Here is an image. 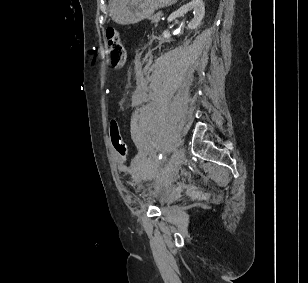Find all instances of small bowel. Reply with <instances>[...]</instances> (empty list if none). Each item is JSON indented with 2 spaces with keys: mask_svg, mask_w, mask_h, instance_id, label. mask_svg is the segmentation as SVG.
<instances>
[{
  "mask_svg": "<svg viewBox=\"0 0 308 283\" xmlns=\"http://www.w3.org/2000/svg\"><path fill=\"white\" fill-rule=\"evenodd\" d=\"M145 100H146V94L145 93H143L142 91H139V90H135L133 92L131 102H132V105L134 107L140 106ZM119 171L127 174L129 172V169L126 165L121 164L119 166Z\"/></svg>",
  "mask_w": 308,
  "mask_h": 283,
  "instance_id": "obj_1",
  "label": "small bowel"
}]
</instances>
